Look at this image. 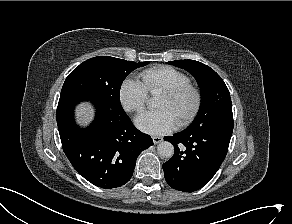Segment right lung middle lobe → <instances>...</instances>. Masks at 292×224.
<instances>
[{"label": "right lung middle lobe", "mask_w": 292, "mask_h": 224, "mask_svg": "<svg viewBox=\"0 0 292 224\" xmlns=\"http://www.w3.org/2000/svg\"><path fill=\"white\" fill-rule=\"evenodd\" d=\"M149 62L98 56L80 64L66 78L61 95L77 94L122 110L120 87L126 76Z\"/></svg>", "instance_id": "right-lung-middle-lobe-1"}]
</instances>
